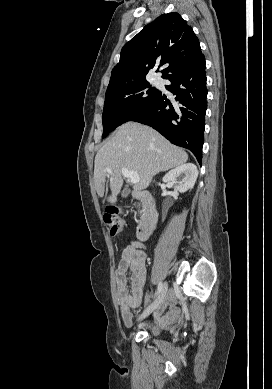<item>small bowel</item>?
Listing matches in <instances>:
<instances>
[{
    "instance_id": "c3829d8e",
    "label": "small bowel",
    "mask_w": 272,
    "mask_h": 389,
    "mask_svg": "<svg viewBox=\"0 0 272 389\" xmlns=\"http://www.w3.org/2000/svg\"><path fill=\"white\" fill-rule=\"evenodd\" d=\"M127 273L131 278V290L127 287ZM146 281V256L138 243L128 245L121 254L115 272L116 291L119 300L121 317L125 326H132V309L139 307L142 301L143 287ZM174 300L169 297L164 305L171 313Z\"/></svg>"
}]
</instances>
